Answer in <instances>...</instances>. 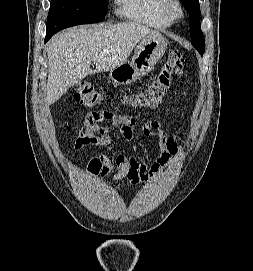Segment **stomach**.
Returning a JSON list of instances; mask_svg holds the SVG:
<instances>
[{
    "instance_id": "stomach-1",
    "label": "stomach",
    "mask_w": 253,
    "mask_h": 271,
    "mask_svg": "<svg viewBox=\"0 0 253 271\" xmlns=\"http://www.w3.org/2000/svg\"><path fill=\"white\" fill-rule=\"evenodd\" d=\"M167 40L161 34L147 36L141 40L131 61H125L110 70V78L118 85L131 84L148 74L163 57Z\"/></svg>"
}]
</instances>
